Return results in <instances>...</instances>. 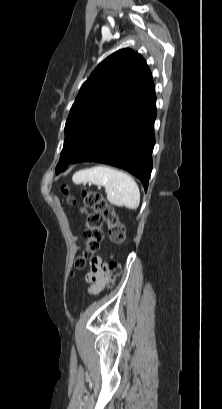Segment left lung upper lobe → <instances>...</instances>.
I'll return each instance as SVG.
<instances>
[{
  "instance_id": "5c2ea615",
  "label": "left lung upper lobe",
  "mask_w": 222,
  "mask_h": 409,
  "mask_svg": "<svg viewBox=\"0 0 222 409\" xmlns=\"http://www.w3.org/2000/svg\"><path fill=\"white\" fill-rule=\"evenodd\" d=\"M154 96L152 75L140 54L122 49L107 57L82 85L72 105L56 172L64 171L82 154L128 99L146 102Z\"/></svg>"
}]
</instances>
